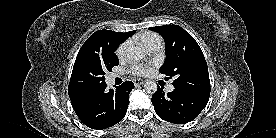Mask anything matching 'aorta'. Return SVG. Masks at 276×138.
<instances>
[{"label":"aorta","mask_w":276,"mask_h":138,"mask_svg":"<svg viewBox=\"0 0 276 138\" xmlns=\"http://www.w3.org/2000/svg\"><path fill=\"white\" fill-rule=\"evenodd\" d=\"M144 50L138 47H131L127 51V58L131 63H137L144 57ZM144 89L148 94H154L157 91V84L154 81H147Z\"/></svg>","instance_id":"762f6f07"}]
</instances>
